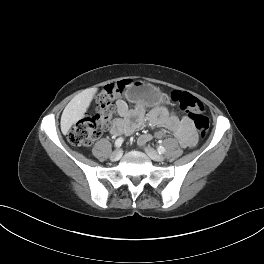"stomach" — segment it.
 <instances>
[{
	"instance_id": "0dacf381",
	"label": "stomach",
	"mask_w": 264,
	"mask_h": 264,
	"mask_svg": "<svg viewBox=\"0 0 264 264\" xmlns=\"http://www.w3.org/2000/svg\"><path fill=\"white\" fill-rule=\"evenodd\" d=\"M127 97L134 102H141L150 107L166 101L165 95L159 88L143 81L134 82L127 93Z\"/></svg>"
}]
</instances>
